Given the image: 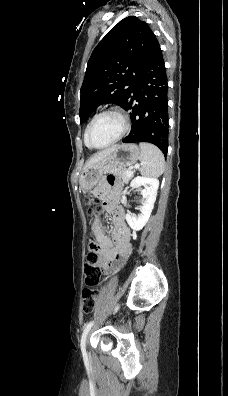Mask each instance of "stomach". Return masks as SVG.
<instances>
[{"instance_id": "obj_1", "label": "stomach", "mask_w": 228, "mask_h": 396, "mask_svg": "<svg viewBox=\"0 0 228 396\" xmlns=\"http://www.w3.org/2000/svg\"><path fill=\"white\" fill-rule=\"evenodd\" d=\"M140 156L141 150L136 144L118 145L103 160L83 171L79 180L80 188L85 193L91 191L104 174L111 172L114 167H131Z\"/></svg>"}]
</instances>
